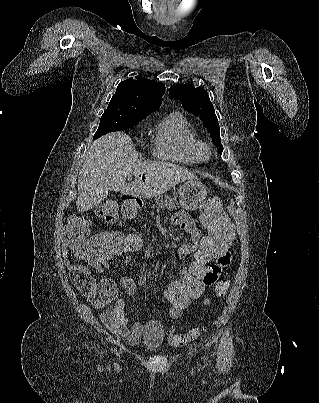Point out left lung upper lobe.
<instances>
[{"instance_id":"obj_1","label":"left lung upper lobe","mask_w":319,"mask_h":403,"mask_svg":"<svg viewBox=\"0 0 319 403\" xmlns=\"http://www.w3.org/2000/svg\"><path fill=\"white\" fill-rule=\"evenodd\" d=\"M169 94L180 100L184 109L202 120L221 154L223 146L220 141V127L207 91L203 87L195 88L192 84H176L170 87Z\"/></svg>"}]
</instances>
